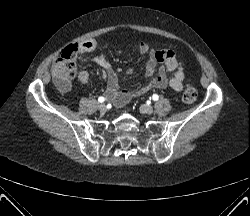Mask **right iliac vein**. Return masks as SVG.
Returning <instances> with one entry per match:
<instances>
[{
	"label": "right iliac vein",
	"instance_id": "right-iliac-vein-1",
	"mask_svg": "<svg viewBox=\"0 0 250 216\" xmlns=\"http://www.w3.org/2000/svg\"><path fill=\"white\" fill-rule=\"evenodd\" d=\"M98 109L100 112H105L106 111V105L104 103H101L98 105Z\"/></svg>",
	"mask_w": 250,
	"mask_h": 216
}]
</instances>
